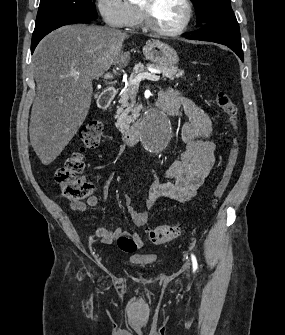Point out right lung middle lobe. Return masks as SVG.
<instances>
[{
  "label": "right lung middle lobe",
  "instance_id": "obj_1",
  "mask_svg": "<svg viewBox=\"0 0 285 335\" xmlns=\"http://www.w3.org/2000/svg\"><path fill=\"white\" fill-rule=\"evenodd\" d=\"M61 15L98 17L92 0H40L35 25Z\"/></svg>",
  "mask_w": 285,
  "mask_h": 335
}]
</instances>
